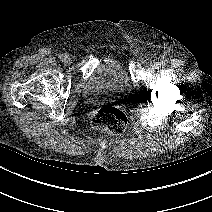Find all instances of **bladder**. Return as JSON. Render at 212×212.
Returning a JSON list of instances; mask_svg holds the SVG:
<instances>
[{"mask_svg": "<svg viewBox=\"0 0 212 212\" xmlns=\"http://www.w3.org/2000/svg\"><path fill=\"white\" fill-rule=\"evenodd\" d=\"M131 90V81L123 62L112 58L98 66L88 78L82 93L86 104L103 98H124Z\"/></svg>", "mask_w": 212, "mask_h": 212, "instance_id": "1", "label": "bladder"}]
</instances>
